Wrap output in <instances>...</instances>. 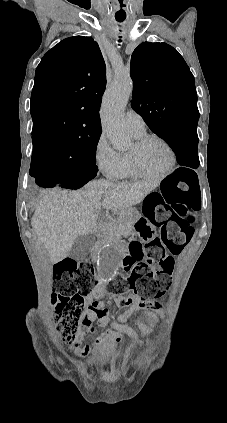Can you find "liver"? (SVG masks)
I'll use <instances>...</instances> for the list:
<instances>
[{"label":"liver","instance_id":"liver-1","mask_svg":"<svg viewBox=\"0 0 227 423\" xmlns=\"http://www.w3.org/2000/svg\"><path fill=\"white\" fill-rule=\"evenodd\" d=\"M157 188L155 182L112 184L93 180L77 192L45 190L31 217L32 231L44 243L52 263L67 257L79 235L106 229L97 223L98 210H125L140 204ZM98 208V210H97Z\"/></svg>","mask_w":227,"mask_h":423}]
</instances>
